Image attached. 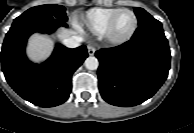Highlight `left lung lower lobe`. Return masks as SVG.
<instances>
[{
	"instance_id": "1",
	"label": "left lung lower lobe",
	"mask_w": 194,
	"mask_h": 133,
	"mask_svg": "<svg viewBox=\"0 0 194 133\" xmlns=\"http://www.w3.org/2000/svg\"><path fill=\"white\" fill-rule=\"evenodd\" d=\"M99 90L115 106L130 107L152 97L167 78L170 51L162 24L151 19L126 43L96 51Z\"/></svg>"
}]
</instances>
